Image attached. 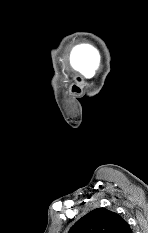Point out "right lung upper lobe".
<instances>
[{"instance_id": "cb5924a9", "label": "right lung upper lobe", "mask_w": 148, "mask_h": 233, "mask_svg": "<svg viewBox=\"0 0 148 233\" xmlns=\"http://www.w3.org/2000/svg\"><path fill=\"white\" fill-rule=\"evenodd\" d=\"M68 233H132V230L118 214L97 208L79 219Z\"/></svg>"}]
</instances>
